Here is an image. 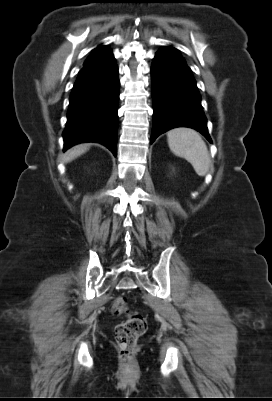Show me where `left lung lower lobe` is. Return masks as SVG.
Here are the masks:
<instances>
[{
  "mask_svg": "<svg viewBox=\"0 0 272 401\" xmlns=\"http://www.w3.org/2000/svg\"><path fill=\"white\" fill-rule=\"evenodd\" d=\"M151 80L154 109L151 143L176 127L193 128L212 142L196 81L177 49L165 46L156 53Z\"/></svg>",
  "mask_w": 272,
  "mask_h": 401,
  "instance_id": "1",
  "label": "left lung lower lobe"
}]
</instances>
